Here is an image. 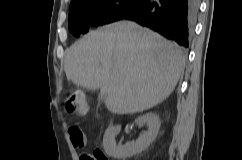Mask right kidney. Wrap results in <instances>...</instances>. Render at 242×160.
<instances>
[{"label":"right kidney","instance_id":"obj_1","mask_svg":"<svg viewBox=\"0 0 242 160\" xmlns=\"http://www.w3.org/2000/svg\"><path fill=\"white\" fill-rule=\"evenodd\" d=\"M135 123L139 126L146 124L148 130L143 132L135 142L126 143L125 145H122L121 143L116 144L115 141L116 135L121 130L120 125H110L106 129L103 137V148L108 156L116 159L130 158L147 149L155 140L161 125L158 115L154 113H146L139 116L135 120Z\"/></svg>","mask_w":242,"mask_h":160}]
</instances>
